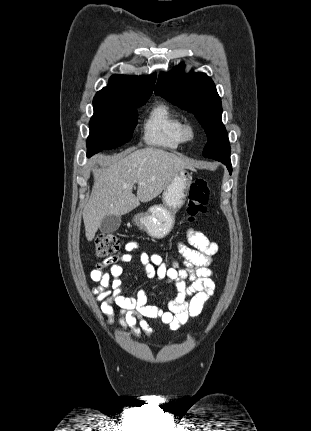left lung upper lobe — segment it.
<instances>
[{
	"mask_svg": "<svg viewBox=\"0 0 311 431\" xmlns=\"http://www.w3.org/2000/svg\"><path fill=\"white\" fill-rule=\"evenodd\" d=\"M183 67L180 64L170 73H161L155 93L195 115L208 137L203 156L220 161L230 156L228 134L221 120V99L210 77L204 73L185 74Z\"/></svg>",
	"mask_w": 311,
	"mask_h": 431,
	"instance_id": "left-lung-upper-lobe-1",
	"label": "left lung upper lobe"
}]
</instances>
